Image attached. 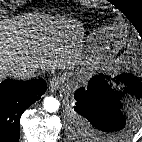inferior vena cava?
Wrapping results in <instances>:
<instances>
[{
    "label": "inferior vena cava",
    "instance_id": "1",
    "mask_svg": "<svg viewBox=\"0 0 142 142\" xmlns=\"http://www.w3.org/2000/svg\"><path fill=\"white\" fill-rule=\"evenodd\" d=\"M14 73L22 80L31 79L35 76L36 67L33 64H19L15 68Z\"/></svg>",
    "mask_w": 142,
    "mask_h": 142
}]
</instances>
